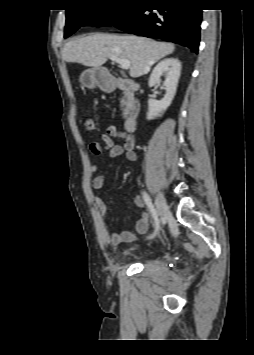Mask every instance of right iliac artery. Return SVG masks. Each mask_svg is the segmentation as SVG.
I'll return each instance as SVG.
<instances>
[{
	"instance_id": "obj_1",
	"label": "right iliac artery",
	"mask_w": 254,
	"mask_h": 355,
	"mask_svg": "<svg viewBox=\"0 0 254 355\" xmlns=\"http://www.w3.org/2000/svg\"><path fill=\"white\" fill-rule=\"evenodd\" d=\"M143 198H144V201H145V203H146V205H147V207H148V209L155 221V225H156L155 232L149 237V239H152L159 230L158 215H157V212L154 208V205L152 204L150 197L148 196V194L146 192H143Z\"/></svg>"
}]
</instances>
